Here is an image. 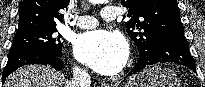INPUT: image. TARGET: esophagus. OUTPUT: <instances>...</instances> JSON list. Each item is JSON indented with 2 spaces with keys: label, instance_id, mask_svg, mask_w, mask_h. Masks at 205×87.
Wrapping results in <instances>:
<instances>
[{
  "label": "esophagus",
  "instance_id": "34e87169",
  "mask_svg": "<svg viewBox=\"0 0 205 87\" xmlns=\"http://www.w3.org/2000/svg\"><path fill=\"white\" fill-rule=\"evenodd\" d=\"M102 87H109V84L104 83V84H102Z\"/></svg>",
  "mask_w": 205,
  "mask_h": 87
}]
</instances>
